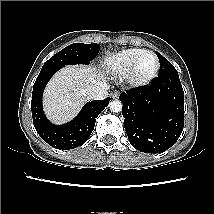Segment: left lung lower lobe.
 Listing matches in <instances>:
<instances>
[{
	"label": "left lung lower lobe",
	"mask_w": 214,
	"mask_h": 214,
	"mask_svg": "<svg viewBox=\"0 0 214 214\" xmlns=\"http://www.w3.org/2000/svg\"><path fill=\"white\" fill-rule=\"evenodd\" d=\"M122 114L131 145L144 153L173 146L184 126V91L179 75H158L151 85L123 92Z\"/></svg>",
	"instance_id": "1"
}]
</instances>
